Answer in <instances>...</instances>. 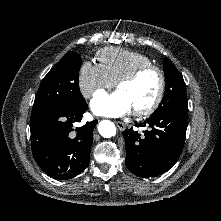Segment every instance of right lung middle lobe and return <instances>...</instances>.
Masks as SVG:
<instances>
[{
  "label": "right lung middle lobe",
  "instance_id": "dd1d6c3e",
  "mask_svg": "<svg viewBox=\"0 0 221 221\" xmlns=\"http://www.w3.org/2000/svg\"><path fill=\"white\" fill-rule=\"evenodd\" d=\"M80 56L69 51L44 77L35 97L30 125L48 112L79 107L85 100L79 89Z\"/></svg>",
  "mask_w": 221,
  "mask_h": 221
}]
</instances>
